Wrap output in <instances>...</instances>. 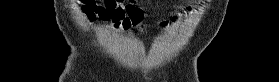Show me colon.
I'll return each mask as SVG.
<instances>
[{"label":"colon","instance_id":"colon-1","mask_svg":"<svg viewBox=\"0 0 279 82\" xmlns=\"http://www.w3.org/2000/svg\"><path fill=\"white\" fill-rule=\"evenodd\" d=\"M124 20L129 26H139L142 20V11L134 6L129 7L126 10Z\"/></svg>","mask_w":279,"mask_h":82}]
</instances>
